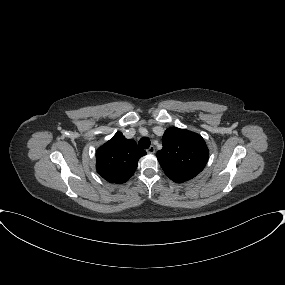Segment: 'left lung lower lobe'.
<instances>
[{"label":"left lung lower lobe","mask_w":285,"mask_h":285,"mask_svg":"<svg viewBox=\"0 0 285 285\" xmlns=\"http://www.w3.org/2000/svg\"><path fill=\"white\" fill-rule=\"evenodd\" d=\"M174 182H176V183H182V182H184V181H180V180H178V181H174Z\"/></svg>","instance_id":"1"}]
</instances>
